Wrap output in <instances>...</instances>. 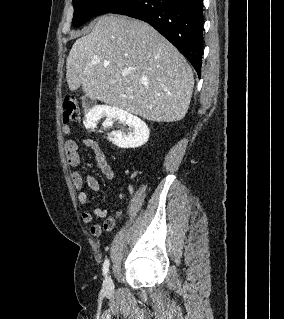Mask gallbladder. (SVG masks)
Instances as JSON below:
<instances>
[{
  "mask_svg": "<svg viewBox=\"0 0 284 319\" xmlns=\"http://www.w3.org/2000/svg\"><path fill=\"white\" fill-rule=\"evenodd\" d=\"M95 100L90 98H84L83 99V106L87 109L91 108L95 104Z\"/></svg>",
  "mask_w": 284,
  "mask_h": 319,
  "instance_id": "bac80fb5",
  "label": "gallbladder"
}]
</instances>
